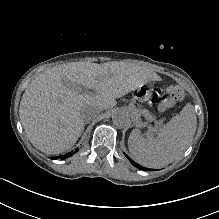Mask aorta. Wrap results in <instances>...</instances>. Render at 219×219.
I'll return each mask as SVG.
<instances>
[{"label":"aorta","instance_id":"762f6f07","mask_svg":"<svg viewBox=\"0 0 219 219\" xmlns=\"http://www.w3.org/2000/svg\"><path fill=\"white\" fill-rule=\"evenodd\" d=\"M112 121L114 125L118 128H127L130 125V119L125 111L123 110H114L112 113Z\"/></svg>","mask_w":219,"mask_h":219}]
</instances>
